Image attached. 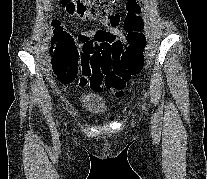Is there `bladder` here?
<instances>
[{
  "label": "bladder",
  "mask_w": 207,
  "mask_h": 179,
  "mask_svg": "<svg viewBox=\"0 0 207 179\" xmlns=\"http://www.w3.org/2000/svg\"><path fill=\"white\" fill-rule=\"evenodd\" d=\"M81 107L92 114H103L106 111V105L102 96L96 93H86L80 96Z\"/></svg>",
  "instance_id": "bladder-1"
}]
</instances>
